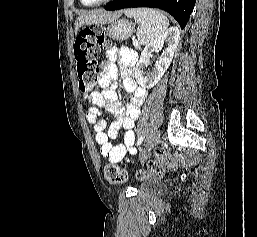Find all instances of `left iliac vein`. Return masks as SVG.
I'll use <instances>...</instances> for the list:
<instances>
[{
  "mask_svg": "<svg viewBox=\"0 0 257 237\" xmlns=\"http://www.w3.org/2000/svg\"><path fill=\"white\" fill-rule=\"evenodd\" d=\"M159 141H160V132L157 131L149 137L145 147L141 152V158L145 159L148 156V154L151 152V150L159 143Z\"/></svg>",
  "mask_w": 257,
  "mask_h": 237,
  "instance_id": "4c4485c4",
  "label": "left iliac vein"
}]
</instances>
